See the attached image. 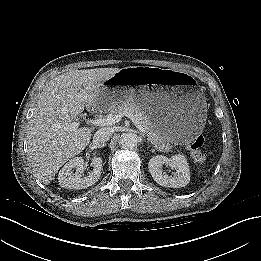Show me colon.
Wrapping results in <instances>:
<instances>
[{"label": "colon", "instance_id": "colon-1", "mask_svg": "<svg viewBox=\"0 0 261 261\" xmlns=\"http://www.w3.org/2000/svg\"><path fill=\"white\" fill-rule=\"evenodd\" d=\"M204 139L202 136H197L190 144L191 156L196 161H203L207 154L203 151Z\"/></svg>", "mask_w": 261, "mask_h": 261}]
</instances>
